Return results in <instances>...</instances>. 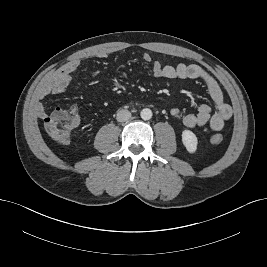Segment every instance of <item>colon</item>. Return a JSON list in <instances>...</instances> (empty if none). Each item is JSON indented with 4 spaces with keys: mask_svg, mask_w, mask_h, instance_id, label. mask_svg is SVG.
Here are the masks:
<instances>
[{
    "mask_svg": "<svg viewBox=\"0 0 267 267\" xmlns=\"http://www.w3.org/2000/svg\"><path fill=\"white\" fill-rule=\"evenodd\" d=\"M79 123V115L76 112L56 109L44 119L45 129L48 135L59 143H67L71 132ZM223 140L221 134L211 136V142L219 144Z\"/></svg>",
    "mask_w": 267,
    "mask_h": 267,
    "instance_id": "obj_1",
    "label": "colon"
}]
</instances>
